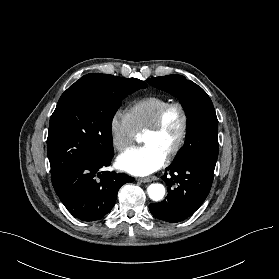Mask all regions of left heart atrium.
I'll list each match as a JSON object with an SVG mask.
<instances>
[{"label":"left heart atrium","instance_id":"1","mask_svg":"<svg viewBox=\"0 0 279 279\" xmlns=\"http://www.w3.org/2000/svg\"><path fill=\"white\" fill-rule=\"evenodd\" d=\"M166 155L152 145L129 149L119 156L120 169L136 176L149 175L158 170L165 162Z\"/></svg>","mask_w":279,"mask_h":279}]
</instances>
